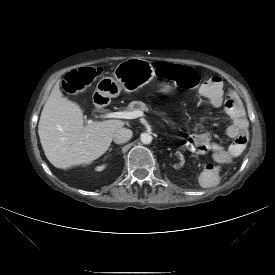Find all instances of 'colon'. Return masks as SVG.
I'll return each mask as SVG.
<instances>
[{
  "mask_svg": "<svg viewBox=\"0 0 275 275\" xmlns=\"http://www.w3.org/2000/svg\"><path fill=\"white\" fill-rule=\"evenodd\" d=\"M99 74V70L83 67L79 70L68 73L63 81V89L69 94L82 92L93 79ZM158 74L163 78L172 80L182 89H196L200 86L199 74L187 66L178 64L163 65L158 68ZM232 103L231 97L225 99L226 108ZM248 142V132L242 131L229 145L228 151L231 154H240ZM220 180V179H219ZM218 180V181H219ZM218 181L216 183H218Z\"/></svg>",
  "mask_w": 275,
  "mask_h": 275,
  "instance_id": "colon-1",
  "label": "colon"
}]
</instances>
